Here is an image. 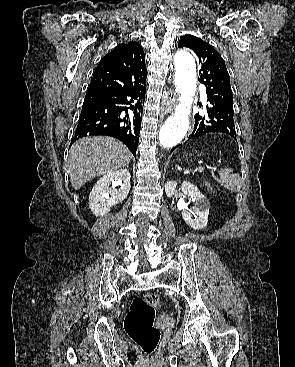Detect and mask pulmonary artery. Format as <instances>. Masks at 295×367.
<instances>
[{
	"instance_id": "pulmonary-artery-1",
	"label": "pulmonary artery",
	"mask_w": 295,
	"mask_h": 367,
	"mask_svg": "<svg viewBox=\"0 0 295 367\" xmlns=\"http://www.w3.org/2000/svg\"><path fill=\"white\" fill-rule=\"evenodd\" d=\"M201 96H202V98L205 100L206 99V94H205V92L204 91H202L201 92Z\"/></svg>"
}]
</instances>
